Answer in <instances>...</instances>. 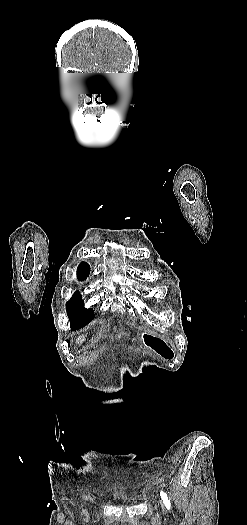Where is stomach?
<instances>
[{
  "label": "stomach",
  "instance_id": "obj_1",
  "mask_svg": "<svg viewBox=\"0 0 247 525\" xmlns=\"http://www.w3.org/2000/svg\"><path fill=\"white\" fill-rule=\"evenodd\" d=\"M141 341L146 348L150 349L163 359L169 360L174 356V351L164 339L144 332L141 334Z\"/></svg>",
  "mask_w": 247,
  "mask_h": 525
}]
</instances>
